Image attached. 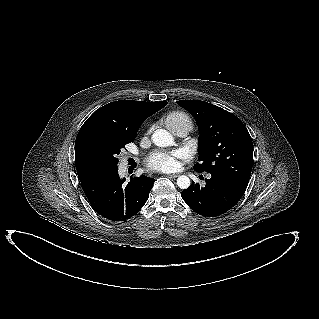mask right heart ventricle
Returning <instances> with one entry per match:
<instances>
[{"label":"right heart ventricle","instance_id":"obj_1","mask_svg":"<svg viewBox=\"0 0 319 319\" xmlns=\"http://www.w3.org/2000/svg\"><path fill=\"white\" fill-rule=\"evenodd\" d=\"M165 123L170 130L176 127H184L188 131L192 129V121L190 117L181 111H174L166 116Z\"/></svg>","mask_w":319,"mask_h":319}]
</instances>
